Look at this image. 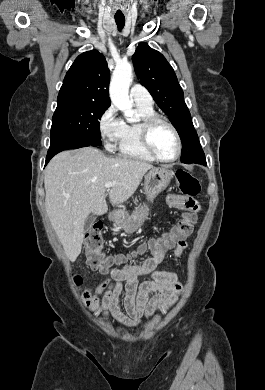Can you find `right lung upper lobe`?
<instances>
[{
  "label": "right lung upper lobe",
  "instance_id": "1",
  "mask_svg": "<svg viewBox=\"0 0 265 390\" xmlns=\"http://www.w3.org/2000/svg\"><path fill=\"white\" fill-rule=\"evenodd\" d=\"M110 72L103 54L91 50L79 55L66 73L57 102L87 101L110 106Z\"/></svg>",
  "mask_w": 265,
  "mask_h": 390
}]
</instances>
